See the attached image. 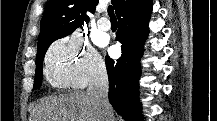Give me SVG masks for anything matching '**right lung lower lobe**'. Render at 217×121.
Returning a JSON list of instances; mask_svg holds the SVG:
<instances>
[{"instance_id":"right-lung-lower-lobe-1","label":"right lung lower lobe","mask_w":217,"mask_h":121,"mask_svg":"<svg viewBox=\"0 0 217 121\" xmlns=\"http://www.w3.org/2000/svg\"><path fill=\"white\" fill-rule=\"evenodd\" d=\"M152 12V0H126L117 14L119 29L116 40L122 44V56L118 60L106 57L109 78V101L115 111L126 121H139L138 80L141 74L140 58L148 35V22Z\"/></svg>"}]
</instances>
